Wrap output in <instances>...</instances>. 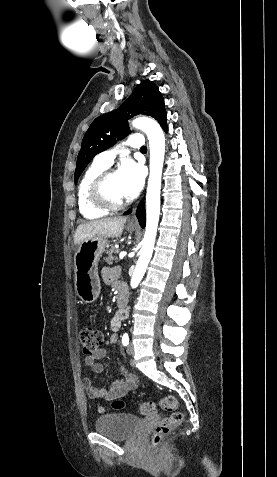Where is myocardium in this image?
<instances>
[{"label":"myocardium","mask_w":277,"mask_h":477,"mask_svg":"<svg viewBox=\"0 0 277 477\" xmlns=\"http://www.w3.org/2000/svg\"><path fill=\"white\" fill-rule=\"evenodd\" d=\"M116 173L113 169H105L98 174L88 188V198L93 206L107 212L123 209L127 205L126 200L112 201L106 194V184L111 175Z\"/></svg>","instance_id":"1"}]
</instances>
